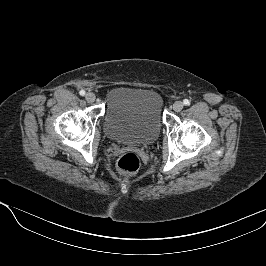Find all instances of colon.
<instances>
[{
	"label": "colon",
	"mask_w": 266,
	"mask_h": 266,
	"mask_svg": "<svg viewBox=\"0 0 266 266\" xmlns=\"http://www.w3.org/2000/svg\"><path fill=\"white\" fill-rule=\"evenodd\" d=\"M140 158L136 152L128 151L122 154L117 161V168L120 173L131 175L140 168Z\"/></svg>",
	"instance_id": "colon-1"
}]
</instances>
